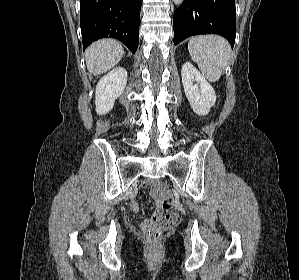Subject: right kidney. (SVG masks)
<instances>
[{
    "mask_svg": "<svg viewBox=\"0 0 299 280\" xmlns=\"http://www.w3.org/2000/svg\"><path fill=\"white\" fill-rule=\"evenodd\" d=\"M127 83V71L118 67L103 76L97 86L95 93V105L97 114H105L114 106V101L119 97Z\"/></svg>",
    "mask_w": 299,
    "mask_h": 280,
    "instance_id": "1",
    "label": "right kidney"
}]
</instances>
